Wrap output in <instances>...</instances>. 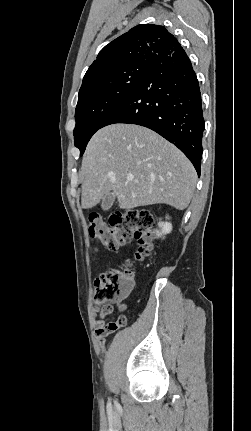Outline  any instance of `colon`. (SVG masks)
I'll use <instances>...</instances> for the list:
<instances>
[{"label":"colon","mask_w":251,"mask_h":431,"mask_svg":"<svg viewBox=\"0 0 251 431\" xmlns=\"http://www.w3.org/2000/svg\"><path fill=\"white\" fill-rule=\"evenodd\" d=\"M87 232L93 243L103 245L109 250H117L121 246L135 239L139 243L136 259L141 260L149 256L155 248V226L152 214L145 209H130L116 213L105 221L98 213H89ZM134 268L130 261L125 262L119 269H110L102 273L94 282V302L101 305L109 313L114 311V304L123 311L124 298L133 285ZM126 317L120 315L117 321L109 323L108 328L116 330L126 324Z\"/></svg>","instance_id":"colon-1"}]
</instances>
